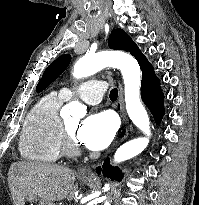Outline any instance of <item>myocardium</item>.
I'll list each match as a JSON object with an SVG mask.
<instances>
[{"mask_svg":"<svg viewBox=\"0 0 199 205\" xmlns=\"http://www.w3.org/2000/svg\"><path fill=\"white\" fill-rule=\"evenodd\" d=\"M60 151L67 156H74L78 154L79 149L75 138L69 133L66 124L61 123L60 138H59Z\"/></svg>","mask_w":199,"mask_h":205,"instance_id":"1","label":"myocardium"}]
</instances>
